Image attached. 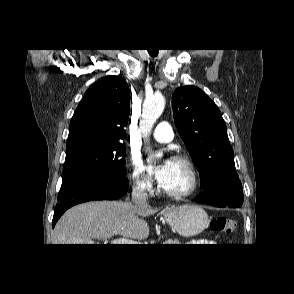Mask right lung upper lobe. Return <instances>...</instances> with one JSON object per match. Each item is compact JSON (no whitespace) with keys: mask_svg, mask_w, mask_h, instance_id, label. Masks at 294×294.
Instances as JSON below:
<instances>
[{"mask_svg":"<svg viewBox=\"0 0 294 294\" xmlns=\"http://www.w3.org/2000/svg\"><path fill=\"white\" fill-rule=\"evenodd\" d=\"M130 114L126 80L107 76L85 92L69 126L67 144L82 140L121 143Z\"/></svg>","mask_w":294,"mask_h":294,"instance_id":"right-lung-upper-lobe-1","label":"right lung upper lobe"}]
</instances>
